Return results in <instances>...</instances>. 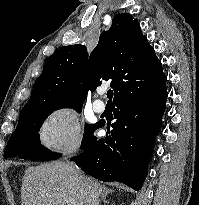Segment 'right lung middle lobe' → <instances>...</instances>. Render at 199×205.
<instances>
[{
    "label": "right lung middle lobe",
    "mask_w": 199,
    "mask_h": 205,
    "mask_svg": "<svg viewBox=\"0 0 199 205\" xmlns=\"http://www.w3.org/2000/svg\"><path fill=\"white\" fill-rule=\"evenodd\" d=\"M73 108L78 113L82 104L59 101H36L27 103L20 112L16 130L11 135L4 151V158L19 156V158L36 161H51L62 156L60 153L51 152L41 145L39 130L45 119L55 110ZM96 124H85L81 148L90 139Z\"/></svg>",
    "instance_id": "right-lung-middle-lobe-1"
}]
</instances>
